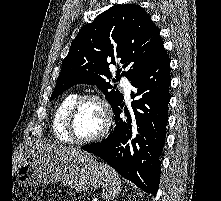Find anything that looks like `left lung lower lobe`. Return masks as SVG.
Segmentation results:
<instances>
[{
    "label": "left lung lower lobe",
    "mask_w": 221,
    "mask_h": 201,
    "mask_svg": "<svg viewBox=\"0 0 221 201\" xmlns=\"http://www.w3.org/2000/svg\"><path fill=\"white\" fill-rule=\"evenodd\" d=\"M170 59L165 54L153 67L132 82L131 114L120 118L122 101L113 110L116 127L107 139L82 146L93 153L121 176L135 183L143 191L156 195L160 181L161 152L165 143L170 101ZM123 100V99H122Z\"/></svg>",
    "instance_id": "left-lung-lower-lobe-1"
}]
</instances>
